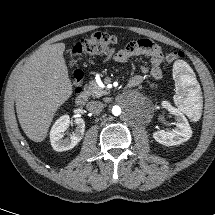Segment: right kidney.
<instances>
[{
  "mask_svg": "<svg viewBox=\"0 0 215 215\" xmlns=\"http://www.w3.org/2000/svg\"><path fill=\"white\" fill-rule=\"evenodd\" d=\"M74 122L77 126L71 136L66 139H63V137L71 123L68 115L61 116L52 126L50 131V141L55 151L61 152L70 150L82 139L85 131V122L82 118H75Z\"/></svg>",
  "mask_w": 215,
  "mask_h": 215,
  "instance_id": "obj_1",
  "label": "right kidney"
}]
</instances>
